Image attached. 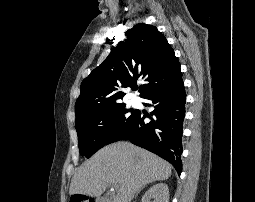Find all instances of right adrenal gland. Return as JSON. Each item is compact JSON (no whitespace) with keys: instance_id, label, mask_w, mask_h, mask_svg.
I'll list each match as a JSON object with an SVG mask.
<instances>
[{"instance_id":"right-adrenal-gland-1","label":"right adrenal gland","mask_w":255,"mask_h":202,"mask_svg":"<svg viewBox=\"0 0 255 202\" xmlns=\"http://www.w3.org/2000/svg\"><path fill=\"white\" fill-rule=\"evenodd\" d=\"M146 186H143L138 192H137V194H136V196L138 195V193L143 189V188H145Z\"/></svg>"}]
</instances>
